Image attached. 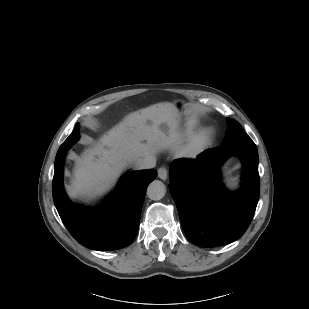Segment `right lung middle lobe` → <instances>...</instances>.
I'll return each mask as SVG.
<instances>
[{
	"mask_svg": "<svg viewBox=\"0 0 309 309\" xmlns=\"http://www.w3.org/2000/svg\"><path fill=\"white\" fill-rule=\"evenodd\" d=\"M79 124L75 125L74 131L70 134V136L65 140V142L60 146L57 154L68 150L78 139H79Z\"/></svg>",
	"mask_w": 309,
	"mask_h": 309,
	"instance_id": "1",
	"label": "right lung middle lobe"
}]
</instances>
